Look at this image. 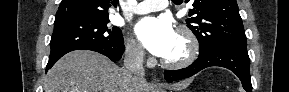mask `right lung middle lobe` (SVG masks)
Instances as JSON below:
<instances>
[{"instance_id": "dd1d6c3e", "label": "right lung middle lobe", "mask_w": 289, "mask_h": 92, "mask_svg": "<svg viewBox=\"0 0 289 92\" xmlns=\"http://www.w3.org/2000/svg\"><path fill=\"white\" fill-rule=\"evenodd\" d=\"M109 18L79 17L54 22L50 41V57L62 51L82 45L96 44L116 46L122 40V32L117 27H109Z\"/></svg>"}]
</instances>
